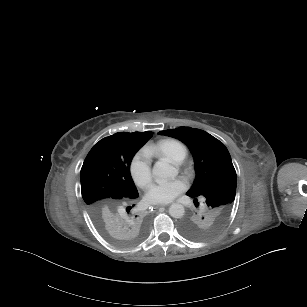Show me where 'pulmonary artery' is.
<instances>
[{
	"label": "pulmonary artery",
	"instance_id": "e3ab8cb5",
	"mask_svg": "<svg viewBox=\"0 0 307 307\" xmlns=\"http://www.w3.org/2000/svg\"><path fill=\"white\" fill-rule=\"evenodd\" d=\"M154 151L156 152V153H159L160 151H161V149H162V145H157V146H154Z\"/></svg>",
	"mask_w": 307,
	"mask_h": 307
}]
</instances>
